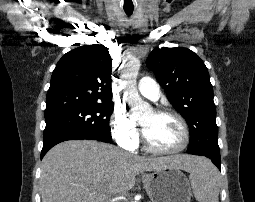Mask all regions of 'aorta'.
<instances>
[{
    "label": "aorta",
    "mask_w": 255,
    "mask_h": 202,
    "mask_svg": "<svg viewBox=\"0 0 255 202\" xmlns=\"http://www.w3.org/2000/svg\"><path fill=\"white\" fill-rule=\"evenodd\" d=\"M140 68L138 58L129 59L121 71V86L125 99L131 108V117L139 119L151 112L150 105L143 101L137 91L136 77Z\"/></svg>",
    "instance_id": "obj_1"
}]
</instances>
